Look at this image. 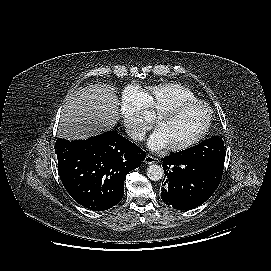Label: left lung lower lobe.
<instances>
[{"label":"left lung lower lobe","mask_w":271,"mask_h":271,"mask_svg":"<svg viewBox=\"0 0 271 271\" xmlns=\"http://www.w3.org/2000/svg\"><path fill=\"white\" fill-rule=\"evenodd\" d=\"M161 198L178 210L193 209L204 203L217 189L222 174L176 153L164 158Z\"/></svg>","instance_id":"0a47b994"}]
</instances>
